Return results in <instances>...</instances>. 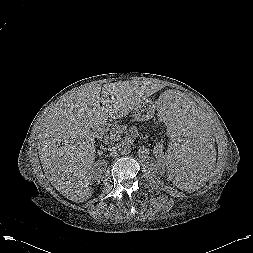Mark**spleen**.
Returning a JSON list of instances; mask_svg holds the SVG:
<instances>
[{
    "label": "spleen",
    "instance_id": "obj_1",
    "mask_svg": "<svg viewBox=\"0 0 253 253\" xmlns=\"http://www.w3.org/2000/svg\"><path fill=\"white\" fill-rule=\"evenodd\" d=\"M156 112L172 140L166 154L171 176L180 188L198 189L213 169L216 130L211 117L177 91L163 93Z\"/></svg>",
    "mask_w": 253,
    "mask_h": 253
}]
</instances>
